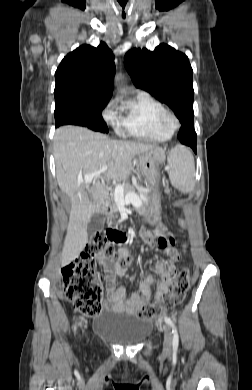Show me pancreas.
Here are the masks:
<instances>
[{
    "instance_id": "cf45deb5",
    "label": "pancreas",
    "mask_w": 252,
    "mask_h": 390,
    "mask_svg": "<svg viewBox=\"0 0 252 390\" xmlns=\"http://www.w3.org/2000/svg\"><path fill=\"white\" fill-rule=\"evenodd\" d=\"M111 200H112V206L114 209H117V204L114 199V193L111 194ZM150 197H144L143 202H140V207L136 208V211L140 214V216H143L145 213V206L149 203Z\"/></svg>"
}]
</instances>
